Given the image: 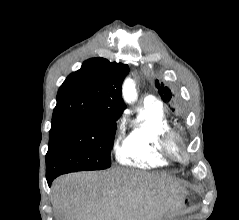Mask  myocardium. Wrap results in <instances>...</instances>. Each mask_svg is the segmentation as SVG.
I'll use <instances>...</instances> for the list:
<instances>
[{
    "label": "myocardium",
    "instance_id": "f54148a6",
    "mask_svg": "<svg viewBox=\"0 0 239 220\" xmlns=\"http://www.w3.org/2000/svg\"><path fill=\"white\" fill-rule=\"evenodd\" d=\"M160 145L162 152L167 157L178 162L187 160L188 156L185 153L182 138L176 131L169 129L164 132L160 139Z\"/></svg>",
    "mask_w": 239,
    "mask_h": 220
}]
</instances>
